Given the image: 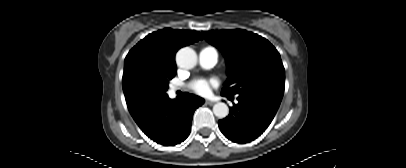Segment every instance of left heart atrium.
<instances>
[{"label":"left heart atrium","mask_w":406,"mask_h":168,"mask_svg":"<svg viewBox=\"0 0 406 168\" xmlns=\"http://www.w3.org/2000/svg\"><path fill=\"white\" fill-rule=\"evenodd\" d=\"M215 85L214 80L196 79L191 83V89L201 96H206L210 93L211 86Z\"/></svg>","instance_id":"obj_1"}]
</instances>
